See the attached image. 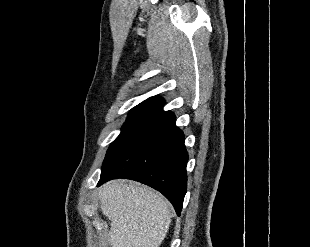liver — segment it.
<instances>
[{
    "label": "liver",
    "mask_w": 310,
    "mask_h": 247,
    "mask_svg": "<svg viewBox=\"0 0 310 247\" xmlns=\"http://www.w3.org/2000/svg\"><path fill=\"white\" fill-rule=\"evenodd\" d=\"M98 196L102 213L111 221V247H160L172 216L163 196L124 180L104 184Z\"/></svg>",
    "instance_id": "liver-1"
}]
</instances>
